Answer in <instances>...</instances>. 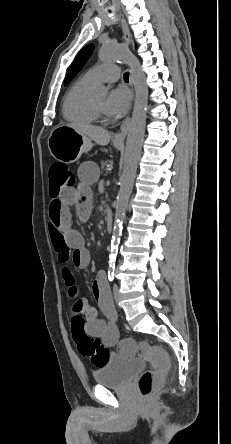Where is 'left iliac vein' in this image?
<instances>
[{
  "instance_id": "4c4485c4",
  "label": "left iliac vein",
  "mask_w": 231,
  "mask_h": 444,
  "mask_svg": "<svg viewBox=\"0 0 231 444\" xmlns=\"http://www.w3.org/2000/svg\"><path fill=\"white\" fill-rule=\"evenodd\" d=\"M113 293H114L115 301H116V303H118L119 299H120V292H119V286L116 284L113 286Z\"/></svg>"
}]
</instances>
